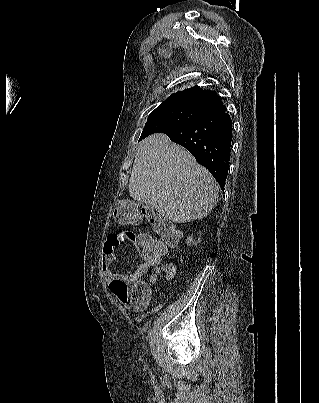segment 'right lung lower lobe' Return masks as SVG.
<instances>
[{"mask_svg":"<svg viewBox=\"0 0 319 403\" xmlns=\"http://www.w3.org/2000/svg\"><path fill=\"white\" fill-rule=\"evenodd\" d=\"M158 132L188 149L224 188L232 141V121L228 113L209 114L186 125L171 126Z\"/></svg>","mask_w":319,"mask_h":403,"instance_id":"1","label":"right lung lower lobe"}]
</instances>
